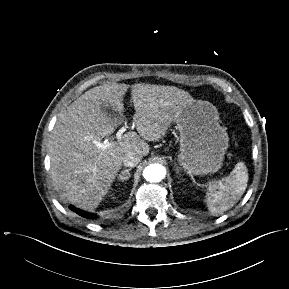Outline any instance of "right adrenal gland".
<instances>
[{"instance_id": "2a0ac1e0", "label": "right adrenal gland", "mask_w": 289, "mask_h": 289, "mask_svg": "<svg viewBox=\"0 0 289 289\" xmlns=\"http://www.w3.org/2000/svg\"><path fill=\"white\" fill-rule=\"evenodd\" d=\"M130 169H125L121 171V173L118 176V180L124 182L125 180H128L130 178Z\"/></svg>"}]
</instances>
